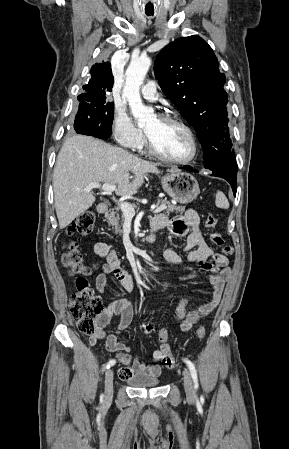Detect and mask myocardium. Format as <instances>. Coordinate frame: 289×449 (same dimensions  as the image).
Returning <instances> with one entry per match:
<instances>
[{"label": "myocardium", "instance_id": "obj_1", "mask_svg": "<svg viewBox=\"0 0 289 449\" xmlns=\"http://www.w3.org/2000/svg\"><path fill=\"white\" fill-rule=\"evenodd\" d=\"M158 118L164 122L172 123V124H175V125L181 127L187 133V135L190 139L191 145H192V153L188 158H185V159H176V158L168 157V156L162 154L156 148L153 141L146 133V143H147V148H148V151L150 152V154H152L154 157H156L162 161L168 162V163L187 165V164L194 162L199 153V145H198L196 135H195L194 131L192 130V128L187 123H185L183 120H181L180 118L170 115V114H161V115H159Z\"/></svg>", "mask_w": 289, "mask_h": 449}]
</instances>
